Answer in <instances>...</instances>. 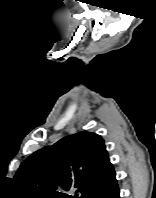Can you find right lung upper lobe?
Listing matches in <instances>:
<instances>
[{
	"label": "right lung upper lobe",
	"instance_id": "right-lung-upper-lobe-1",
	"mask_svg": "<svg viewBox=\"0 0 156 198\" xmlns=\"http://www.w3.org/2000/svg\"><path fill=\"white\" fill-rule=\"evenodd\" d=\"M35 194L64 197L56 191L76 190L80 198H103L117 186L104 140L92 132L62 138L29 156L15 177Z\"/></svg>",
	"mask_w": 156,
	"mask_h": 198
}]
</instances>
